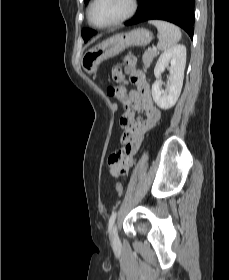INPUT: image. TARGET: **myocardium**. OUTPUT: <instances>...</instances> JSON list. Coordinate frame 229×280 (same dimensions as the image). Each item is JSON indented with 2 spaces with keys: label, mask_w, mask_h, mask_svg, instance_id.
<instances>
[{
  "label": "myocardium",
  "mask_w": 229,
  "mask_h": 280,
  "mask_svg": "<svg viewBox=\"0 0 229 280\" xmlns=\"http://www.w3.org/2000/svg\"><path fill=\"white\" fill-rule=\"evenodd\" d=\"M99 0H93L89 9H88V13H87V18H88V22L95 28H98V29H105V28H109V27H113V26H116V25H119L127 20H129L130 18H132L135 13L137 12V9H138V0H128L129 2V8L127 10V12L125 14H123L122 16H120L119 18L111 21V22H108L106 24H103V25H96L92 22V10L94 8V6L97 4Z\"/></svg>",
  "instance_id": "f54148a6"
}]
</instances>
